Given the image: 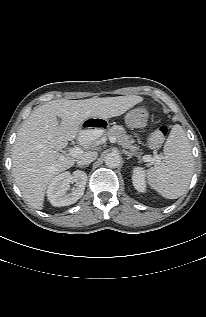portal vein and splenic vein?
I'll list each match as a JSON object with an SVG mask.
<instances>
[{
  "instance_id": "1",
  "label": "portal vein and splenic vein",
  "mask_w": 206,
  "mask_h": 317,
  "mask_svg": "<svg viewBox=\"0 0 206 317\" xmlns=\"http://www.w3.org/2000/svg\"><path fill=\"white\" fill-rule=\"evenodd\" d=\"M109 140L112 143L116 142V138L114 136L109 137ZM81 153H82V150L79 147H73L69 150V155L72 157H78ZM143 159L145 162H149L151 160H157L159 159V157L155 155L154 158L152 159L149 155H145Z\"/></svg>"
}]
</instances>
